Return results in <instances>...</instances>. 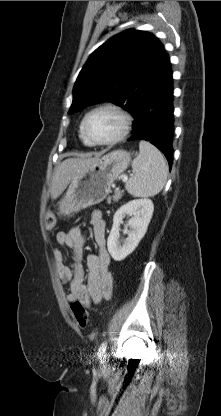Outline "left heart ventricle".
<instances>
[{"label":"left heart ventricle","mask_w":221,"mask_h":416,"mask_svg":"<svg viewBox=\"0 0 221 416\" xmlns=\"http://www.w3.org/2000/svg\"><path fill=\"white\" fill-rule=\"evenodd\" d=\"M121 128V119L109 110H102L90 116L86 124L87 134L94 140L103 141L116 136Z\"/></svg>","instance_id":"b2bd125f"}]
</instances>
